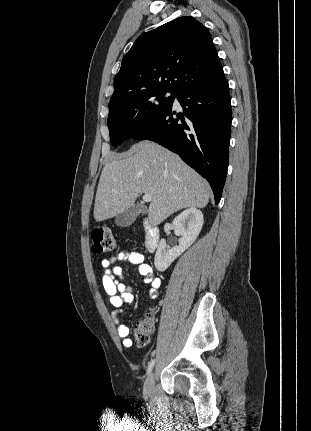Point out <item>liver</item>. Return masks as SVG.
Wrapping results in <instances>:
<instances>
[{"instance_id":"1","label":"liver","mask_w":311,"mask_h":431,"mask_svg":"<svg viewBox=\"0 0 311 431\" xmlns=\"http://www.w3.org/2000/svg\"><path fill=\"white\" fill-rule=\"evenodd\" d=\"M211 188L181 158L154 142H139L105 164L94 202L95 221L132 208L140 194L151 196L148 219L159 225L183 208H205Z\"/></svg>"}]
</instances>
